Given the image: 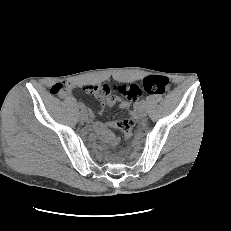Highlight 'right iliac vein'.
Masks as SVG:
<instances>
[{
    "label": "right iliac vein",
    "mask_w": 231,
    "mask_h": 231,
    "mask_svg": "<svg viewBox=\"0 0 231 231\" xmlns=\"http://www.w3.org/2000/svg\"><path fill=\"white\" fill-rule=\"evenodd\" d=\"M80 119L83 120V121H87L89 119V116H88V113H87L86 109H83L80 112Z\"/></svg>",
    "instance_id": "1"
}]
</instances>
